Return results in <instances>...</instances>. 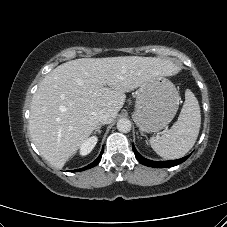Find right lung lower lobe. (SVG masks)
I'll return each mask as SVG.
<instances>
[{
    "instance_id": "98d812e1",
    "label": "right lung lower lobe",
    "mask_w": 227,
    "mask_h": 227,
    "mask_svg": "<svg viewBox=\"0 0 227 227\" xmlns=\"http://www.w3.org/2000/svg\"><path fill=\"white\" fill-rule=\"evenodd\" d=\"M102 154H103V149H102V151H101L99 157H98L93 163H91V164H89L88 166L83 167V168H81V169H76V170H74V171H83V170L90 169V168L96 166V165L100 162L101 157H102Z\"/></svg>"
}]
</instances>
